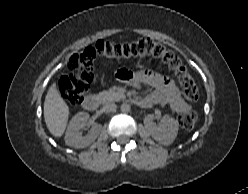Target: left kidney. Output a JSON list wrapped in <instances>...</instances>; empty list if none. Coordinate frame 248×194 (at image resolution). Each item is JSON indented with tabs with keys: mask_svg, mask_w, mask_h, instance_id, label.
Returning <instances> with one entry per match:
<instances>
[{
	"mask_svg": "<svg viewBox=\"0 0 248 194\" xmlns=\"http://www.w3.org/2000/svg\"><path fill=\"white\" fill-rule=\"evenodd\" d=\"M152 138L163 145H170L175 140L178 133V122L168 116H163L162 124L149 128Z\"/></svg>",
	"mask_w": 248,
	"mask_h": 194,
	"instance_id": "1",
	"label": "left kidney"
}]
</instances>
